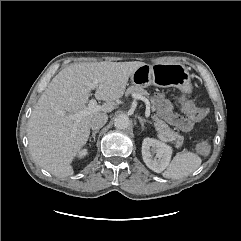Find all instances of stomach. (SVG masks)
<instances>
[{"label":"stomach","mask_w":241,"mask_h":241,"mask_svg":"<svg viewBox=\"0 0 241 241\" xmlns=\"http://www.w3.org/2000/svg\"><path fill=\"white\" fill-rule=\"evenodd\" d=\"M131 82L142 88L154 84L162 88L177 87L184 93L192 90L191 76L181 63L144 64L131 75Z\"/></svg>","instance_id":"obj_1"}]
</instances>
